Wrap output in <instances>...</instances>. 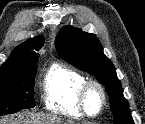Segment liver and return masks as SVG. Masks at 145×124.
Segmentation results:
<instances>
[{"mask_svg": "<svg viewBox=\"0 0 145 124\" xmlns=\"http://www.w3.org/2000/svg\"><path fill=\"white\" fill-rule=\"evenodd\" d=\"M0 124H65L61 118L50 114L22 113L18 119L0 120Z\"/></svg>", "mask_w": 145, "mask_h": 124, "instance_id": "liver-1", "label": "liver"}]
</instances>
